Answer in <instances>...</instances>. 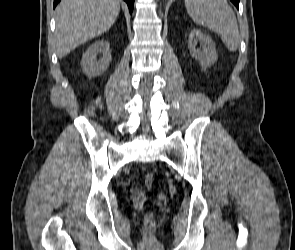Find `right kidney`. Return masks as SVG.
Returning a JSON list of instances; mask_svg holds the SVG:
<instances>
[{"mask_svg":"<svg viewBox=\"0 0 295 250\" xmlns=\"http://www.w3.org/2000/svg\"><path fill=\"white\" fill-rule=\"evenodd\" d=\"M99 53L102 58L97 61ZM111 60L110 44L106 40H101L88 47L82 56L81 67L86 76L94 77L104 73L108 69Z\"/></svg>","mask_w":295,"mask_h":250,"instance_id":"right-kidney-1","label":"right kidney"}]
</instances>
